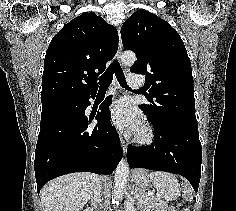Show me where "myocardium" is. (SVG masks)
I'll return each instance as SVG.
<instances>
[{"label": "myocardium", "mask_w": 236, "mask_h": 211, "mask_svg": "<svg viewBox=\"0 0 236 211\" xmlns=\"http://www.w3.org/2000/svg\"><path fill=\"white\" fill-rule=\"evenodd\" d=\"M133 140L138 144H149L153 141L154 131L147 121L142 122L132 134Z\"/></svg>", "instance_id": "myocardium-1"}]
</instances>
